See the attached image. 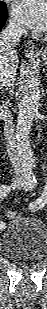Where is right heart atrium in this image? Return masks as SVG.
<instances>
[{
  "label": "right heart atrium",
  "mask_w": 47,
  "mask_h": 309,
  "mask_svg": "<svg viewBox=\"0 0 47 309\" xmlns=\"http://www.w3.org/2000/svg\"><path fill=\"white\" fill-rule=\"evenodd\" d=\"M9 27L15 33H23L24 31L22 26L16 20H11Z\"/></svg>",
  "instance_id": "1"
}]
</instances>
